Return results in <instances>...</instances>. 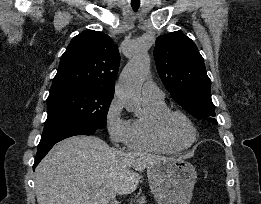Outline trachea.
I'll list each match as a JSON object with an SVG mask.
<instances>
[{
  "instance_id": "1",
  "label": "trachea",
  "mask_w": 261,
  "mask_h": 204,
  "mask_svg": "<svg viewBox=\"0 0 261 204\" xmlns=\"http://www.w3.org/2000/svg\"><path fill=\"white\" fill-rule=\"evenodd\" d=\"M131 6H132L134 11H137L139 6H140V4H137V5L136 4H131Z\"/></svg>"
}]
</instances>
